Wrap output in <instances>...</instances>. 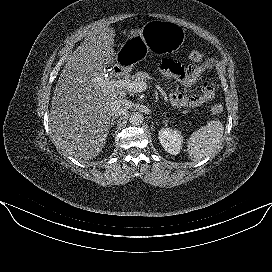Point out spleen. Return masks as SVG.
Returning a JSON list of instances; mask_svg holds the SVG:
<instances>
[{
	"mask_svg": "<svg viewBox=\"0 0 272 272\" xmlns=\"http://www.w3.org/2000/svg\"><path fill=\"white\" fill-rule=\"evenodd\" d=\"M224 125L219 120H211L206 126L192 133L187 141V152L194 162H199L214 154L220 144Z\"/></svg>",
	"mask_w": 272,
	"mask_h": 272,
	"instance_id": "1",
	"label": "spleen"
}]
</instances>
